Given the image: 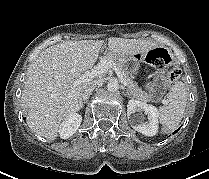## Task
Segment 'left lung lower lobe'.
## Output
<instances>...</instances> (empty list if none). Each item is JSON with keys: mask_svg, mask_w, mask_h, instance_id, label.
I'll return each mask as SVG.
<instances>
[{"mask_svg": "<svg viewBox=\"0 0 209 179\" xmlns=\"http://www.w3.org/2000/svg\"><path fill=\"white\" fill-rule=\"evenodd\" d=\"M179 129H177L174 133H176Z\"/></svg>", "mask_w": 209, "mask_h": 179, "instance_id": "left-lung-lower-lobe-1", "label": "left lung lower lobe"}]
</instances>
